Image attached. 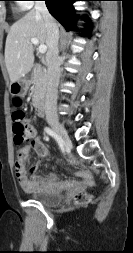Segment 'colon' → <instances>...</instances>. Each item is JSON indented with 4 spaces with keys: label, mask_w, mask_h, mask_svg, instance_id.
Listing matches in <instances>:
<instances>
[{
    "label": "colon",
    "mask_w": 133,
    "mask_h": 253,
    "mask_svg": "<svg viewBox=\"0 0 133 253\" xmlns=\"http://www.w3.org/2000/svg\"><path fill=\"white\" fill-rule=\"evenodd\" d=\"M12 121L14 142L16 144H21L23 142L31 140L34 135V129L27 121L24 111L20 108L19 100H15L14 102ZM83 198L87 199L89 196L87 194H84L81 197L76 198V202H81Z\"/></svg>",
    "instance_id": "obj_1"
}]
</instances>
